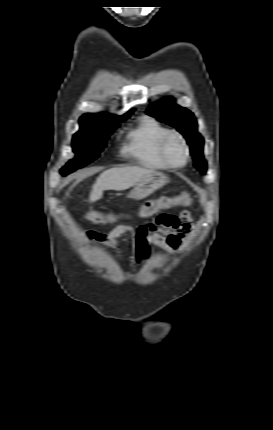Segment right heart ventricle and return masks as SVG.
<instances>
[{"mask_svg": "<svg viewBox=\"0 0 273 430\" xmlns=\"http://www.w3.org/2000/svg\"><path fill=\"white\" fill-rule=\"evenodd\" d=\"M170 131L156 119L144 116L128 131L123 152L143 167L167 169L169 166L160 157L159 145Z\"/></svg>", "mask_w": 273, "mask_h": 430, "instance_id": "1", "label": "right heart ventricle"}]
</instances>
